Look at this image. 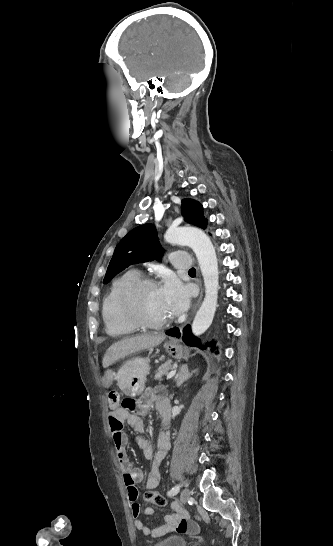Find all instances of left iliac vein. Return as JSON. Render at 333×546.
<instances>
[{"label":"left iliac vein","mask_w":333,"mask_h":546,"mask_svg":"<svg viewBox=\"0 0 333 546\" xmlns=\"http://www.w3.org/2000/svg\"><path fill=\"white\" fill-rule=\"evenodd\" d=\"M190 498V490L188 488H185L180 495V499L182 504H185Z\"/></svg>","instance_id":"left-iliac-vein-1"}]
</instances>
